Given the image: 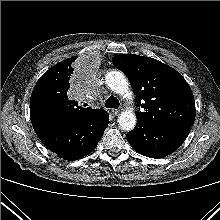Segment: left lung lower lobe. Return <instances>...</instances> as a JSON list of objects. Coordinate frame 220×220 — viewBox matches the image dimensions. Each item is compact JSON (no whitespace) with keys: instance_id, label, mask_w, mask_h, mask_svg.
<instances>
[{"instance_id":"obj_1","label":"left lung lower lobe","mask_w":220,"mask_h":220,"mask_svg":"<svg viewBox=\"0 0 220 220\" xmlns=\"http://www.w3.org/2000/svg\"><path fill=\"white\" fill-rule=\"evenodd\" d=\"M191 125L167 123L153 125L138 121L126 138L135 151L149 158H163L177 150L187 138Z\"/></svg>"}]
</instances>
